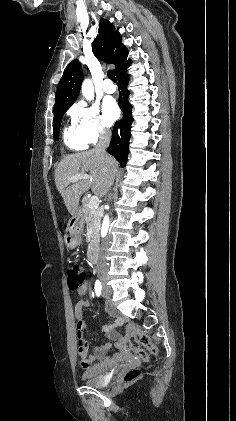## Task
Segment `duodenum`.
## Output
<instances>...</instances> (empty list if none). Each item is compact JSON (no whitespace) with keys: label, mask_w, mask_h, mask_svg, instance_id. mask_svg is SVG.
I'll return each instance as SVG.
<instances>
[{"label":"duodenum","mask_w":236,"mask_h":421,"mask_svg":"<svg viewBox=\"0 0 236 421\" xmlns=\"http://www.w3.org/2000/svg\"><path fill=\"white\" fill-rule=\"evenodd\" d=\"M88 259L92 262V263H96L97 262V247H96V242L95 240H92L89 244L88 247ZM120 347H123L124 345V341L121 340L118 344ZM108 350V346H102L98 349L97 354L91 356V362L96 361L99 362L98 365L93 367V371L94 372H99L102 370H105V367H107L108 369L112 368L118 361H120L123 357L122 355H116L113 358H108L106 357L104 354L105 352ZM105 366V367H104Z\"/></svg>","instance_id":"duodenum-1"}]
</instances>
